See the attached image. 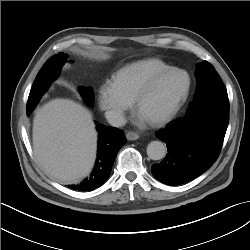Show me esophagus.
Returning <instances> with one entry per match:
<instances>
[{
    "mask_svg": "<svg viewBox=\"0 0 250 250\" xmlns=\"http://www.w3.org/2000/svg\"><path fill=\"white\" fill-rule=\"evenodd\" d=\"M126 138L128 140H137L139 138V135L137 133H135V132L130 131V132H127Z\"/></svg>",
    "mask_w": 250,
    "mask_h": 250,
    "instance_id": "34e87169",
    "label": "esophagus"
}]
</instances>
